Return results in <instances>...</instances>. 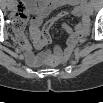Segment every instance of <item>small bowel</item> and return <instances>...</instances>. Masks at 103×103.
<instances>
[{
	"label": "small bowel",
	"instance_id": "small-bowel-1",
	"mask_svg": "<svg viewBox=\"0 0 103 103\" xmlns=\"http://www.w3.org/2000/svg\"><path fill=\"white\" fill-rule=\"evenodd\" d=\"M7 6L8 10L12 8L11 4H8ZM14 6H16V4ZM63 6H69L70 9L58 12L42 26L43 20L46 17ZM14 9H12L14 10V13L12 12L14 14L12 25L14 40L20 50L24 53L26 63L32 67L39 66L47 60H53L57 63L66 62L73 55L77 46L84 41V38L88 33L89 6H87L85 2L67 3L58 0L37 2L34 0H26L18 3ZM26 15L28 17L30 15L28 35L31 42L27 40L25 25L18 26L15 23L16 19H22ZM68 16L77 17L78 22L74 26L69 23H62L61 28L68 36L65 46L62 48L55 45L52 50H45V47L50 44V30L54 23L57 20ZM36 51L39 52L36 53Z\"/></svg>",
	"mask_w": 103,
	"mask_h": 103
}]
</instances>
